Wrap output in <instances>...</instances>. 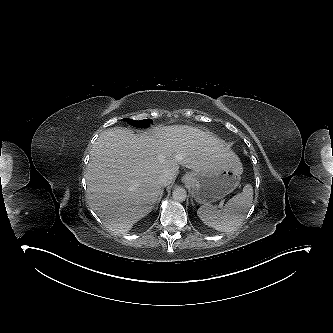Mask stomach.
Listing matches in <instances>:
<instances>
[{
  "instance_id": "stomach-1",
  "label": "stomach",
  "mask_w": 333,
  "mask_h": 333,
  "mask_svg": "<svg viewBox=\"0 0 333 333\" xmlns=\"http://www.w3.org/2000/svg\"><path fill=\"white\" fill-rule=\"evenodd\" d=\"M242 172L238 160L231 166L187 173L182 180L189 186L195 201L206 205L233 192L239 185Z\"/></svg>"
}]
</instances>
